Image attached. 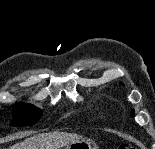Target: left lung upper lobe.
Listing matches in <instances>:
<instances>
[{"mask_svg": "<svg viewBox=\"0 0 155 149\" xmlns=\"http://www.w3.org/2000/svg\"><path fill=\"white\" fill-rule=\"evenodd\" d=\"M131 116L134 117V111L131 112Z\"/></svg>", "mask_w": 155, "mask_h": 149, "instance_id": "1", "label": "left lung upper lobe"}]
</instances>
